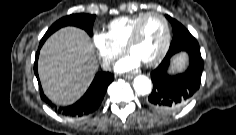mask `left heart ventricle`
<instances>
[{
    "instance_id": "1",
    "label": "left heart ventricle",
    "mask_w": 236,
    "mask_h": 135,
    "mask_svg": "<svg viewBox=\"0 0 236 135\" xmlns=\"http://www.w3.org/2000/svg\"><path fill=\"white\" fill-rule=\"evenodd\" d=\"M165 39V28L157 16L148 17L142 24L137 43L130 53L145 62L153 59L160 52Z\"/></svg>"
}]
</instances>
